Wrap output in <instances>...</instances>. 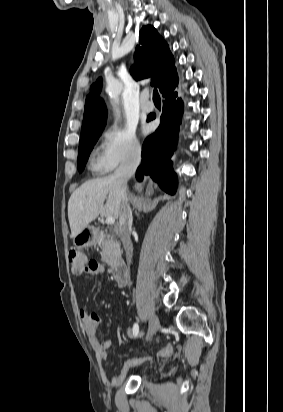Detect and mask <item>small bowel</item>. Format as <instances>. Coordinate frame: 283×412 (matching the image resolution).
I'll list each match as a JSON object with an SVG mask.
<instances>
[{
	"instance_id": "obj_1",
	"label": "small bowel",
	"mask_w": 283,
	"mask_h": 412,
	"mask_svg": "<svg viewBox=\"0 0 283 412\" xmlns=\"http://www.w3.org/2000/svg\"><path fill=\"white\" fill-rule=\"evenodd\" d=\"M103 266L101 264L98 263V268L96 271L91 272L89 274L93 275V276H101L103 274ZM79 317L81 319V322L84 326V329L86 331L87 337L96 353V358L97 361L99 363L105 361L108 357V352L112 346L111 341L107 340V341H100L99 336H98V328L102 322L101 317L94 312H88L85 309H80L79 310ZM128 336H132L133 335V329L129 328L126 331ZM174 353V348L172 345H167L165 347H163L160 352H159V356L163 357V358H168L170 356H172ZM145 361V358L142 357H138V358H128L121 370L120 373L117 376H114L112 378H109L105 371L103 369L100 370L101 372V377L102 379L109 385L111 386H116L119 385L123 379L125 378L127 372L129 371L130 368H132L133 366H136L142 362Z\"/></svg>"
}]
</instances>
